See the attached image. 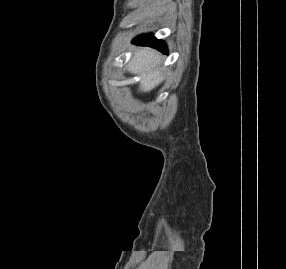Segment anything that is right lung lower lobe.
<instances>
[{"instance_id":"obj_1","label":"right lung lower lobe","mask_w":286,"mask_h":269,"mask_svg":"<svg viewBox=\"0 0 286 269\" xmlns=\"http://www.w3.org/2000/svg\"><path fill=\"white\" fill-rule=\"evenodd\" d=\"M136 44L140 45H148L153 48L160 50L163 53H168L167 47L163 41L156 39L154 36L150 34H144L134 39L133 41Z\"/></svg>"}]
</instances>
